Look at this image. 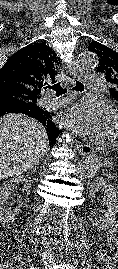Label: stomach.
Instances as JSON below:
<instances>
[{
  "label": "stomach",
  "instance_id": "obj_1",
  "mask_svg": "<svg viewBox=\"0 0 118 269\" xmlns=\"http://www.w3.org/2000/svg\"><path fill=\"white\" fill-rule=\"evenodd\" d=\"M112 163L111 162H109V161H107V160H105V162H104V165H108V166H110Z\"/></svg>",
  "mask_w": 118,
  "mask_h": 269
}]
</instances>
